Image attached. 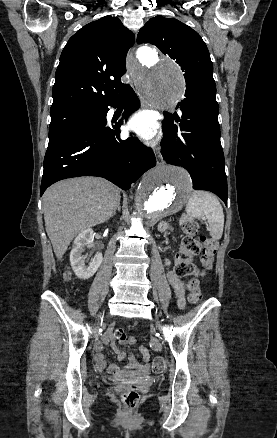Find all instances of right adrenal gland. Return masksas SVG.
Wrapping results in <instances>:
<instances>
[{"label": "right adrenal gland", "instance_id": "2a0ac1e0", "mask_svg": "<svg viewBox=\"0 0 277 438\" xmlns=\"http://www.w3.org/2000/svg\"><path fill=\"white\" fill-rule=\"evenodd\" d=\"M120 210H121V206H119V204H118V206H117V212H120Z\"/></svg>", "mask_w": 277, "mask_h": 438}]
</instances>
